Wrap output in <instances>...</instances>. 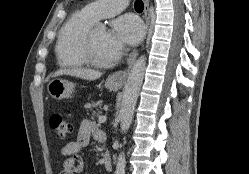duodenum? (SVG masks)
<instances>
[{"instance_id":"1","label":"duodenum","mask_w":249,"mask_h":174,"mask_svg":"<svg viewBox=\"0 0 249 174\" xmlns=\"http://www.w3.org/2000/svg\"><path fill=\"white\" fill-rule=\"evenodd\" d=\"M103 163L104 167L107 171L112 172L113 171V164L110 158V155L107 151L103 153Z\"/></svg>"}]
</instances>
